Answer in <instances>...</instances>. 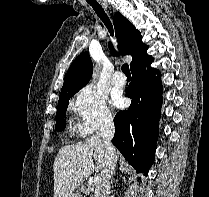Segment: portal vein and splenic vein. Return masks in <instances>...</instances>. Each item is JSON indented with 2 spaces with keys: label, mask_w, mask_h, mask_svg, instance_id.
Wrapping results in <instances>:
<instances>
[{
  "label": "portal vein and splenic vein",
  "mask_w": 209,
  "mask_h": 197,
  "mask_svg": "<svg viewBox=\"0 0 209 197\" xmlns=\"http://www.w3.org/2000/svg\"><path fill=\"white\" fill-rule=\"evenodd\" d=\"M101 182H102L101 177H99V176L94 177V179H93L94 184L99 185Z\"/></svg>",
  "instance_id": "18ae733b"
}]
</instances>
